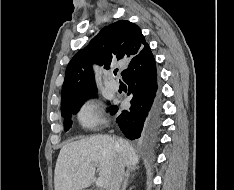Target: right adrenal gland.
Wrapping results in <instances>:
<instances>
[{"label": "right adrenal gland", "instance_id": "2a0ac1e0", "mask_svg": "<svg viewBox=\"0 0 234 190\" xmlns=\"http://www.w3.org/2000/svg\"><path fill=\"white\" fill-rule=\"evenodd\" d=\"M132 172V170L128 169L125 173V178H124V181H123V184L121 186V190H126L127 188V185H128V180H129V177H130V173ZM135 174H133V177H134Z\"/></svg>", "mask_w": 234, "mask_h": 190}]
</instances>
